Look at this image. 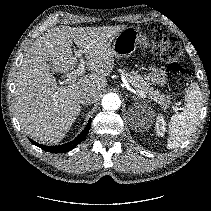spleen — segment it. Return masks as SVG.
Listing matches in <instances>:
<instances>
[{
  "mask_svg": "<svg viewBox=\"0 0 211 211\" xmlns=\"http://www.w3.org/2000/svg\"><path fill=\"white\" fill-rule=\"evenodd\" d=\"M203 104V95L198 83L190 84L185 95L181 113L171 117L169 123L168 149L179 147L195 131Z\"/></svg>",
  "mask_w": 211,
  "mask_h": 211,
  "instance_id": "3e777b00",
  "label": "spleen"
}]
</instances>
